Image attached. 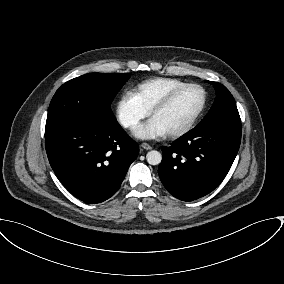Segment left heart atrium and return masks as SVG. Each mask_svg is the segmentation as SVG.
<instances>
[{"label":"left heart atrium","instance_id":"39dd6f15","mask_svg":"<svg viewBox=\"0 0 284 284\" xmlns=\"http://www.w3.org/2000/svg\"><path fill=\"white\" fill-rule=\"evenodd\" d=\"M165 134V130L153 118L140 125L134 131V135L139 139H154Z\"/></svg>","mask_w":284,"mask_h":284}]
</instances>
